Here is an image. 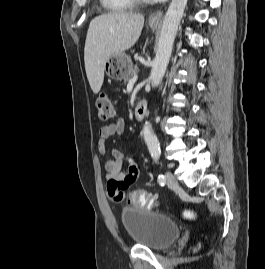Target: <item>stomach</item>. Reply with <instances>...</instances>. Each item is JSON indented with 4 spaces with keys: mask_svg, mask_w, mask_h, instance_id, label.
<instances>
[{
    "mask_svg": "<svg viewBox=\"0 0 265 269\" xmlns=\"http://www.w3.org/2000/svg\"><path fill=\"white\" fill-rule=\"evenodd\" d=\"M157 24H150L151 29H156ZM106 74L114 80L126 79L133 68L132 61L125 53L114 54L105 63Z\"/></svg>",
    "mask_w": 265,
    "mask_h": 269,
    "instance_id": "obj_1",
    "label": "stomach"
}]
</instances>
